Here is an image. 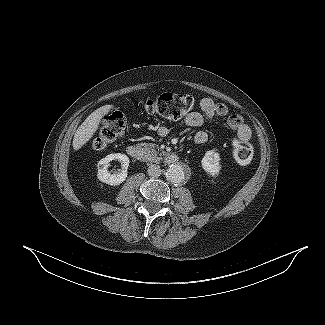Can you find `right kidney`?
<instances>
[{
	"instance_id": "obj_1",
	"label": "right kidney",
	"mask_w": 325,
	"mask_h": 325,
	"mask_svg": "<svg viewBox=\"0 0 325 325\" xmlns=\"http://www.w3.org/2000/svg\"><path fill=\"white\" fill-rule=\"evenodd\" d=\"M115 159H118L121 162L122 170L121 172L111 174L107 170L108 163ZM128 166H129V158L127 155L121 153L109 154L98 162L97 177L103 183L109 185H119L122 182H124L127 178Z\"/></svg>"
}]
</instances>
